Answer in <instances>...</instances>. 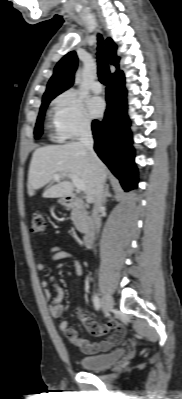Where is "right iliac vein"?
Wrapping results in <instances>:
<instances>
[{
    "instance_id": "63e3f726",
    "label": "right iliac vein",
    "mask_w": 182,
    "mask_h": 399,
    "mask_svg": "<svg viewBox=\"0 0 182 399\" xmlns=\"http://www.w3.org/2000/svg\"><path fill=\"white\" fill-rule=\"evenodd\" d=\"M102 305H103V310H104V312L106 314L109 313L112 310V308H113V300H112L110 295L105 294L103 296Z\"/></svg>"
}]
</instances>
